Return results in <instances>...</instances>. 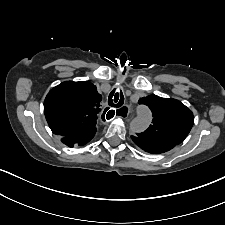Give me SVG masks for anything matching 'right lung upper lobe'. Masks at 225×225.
<instances>
[{"label":"right lung upper lobe","mask_w":225,"mask_h":225,"mask_svg":"<svg viewBox=\"0 0 225 225\" xmlns=\"http://www.w3.org/2000/svg\"><path fill=\"white\" fill-rule=\"evenodd\" d=\"M101 95L88 81H65L54 87L44 101L46 120L59 136L91 137L96 133Z\"/></svg>","instance_id":"1"}]
</instances>
